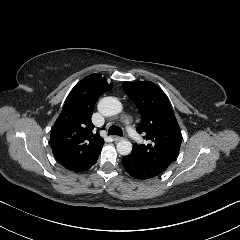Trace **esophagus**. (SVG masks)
I'll use <instances>...</instances> for the list:
<instances>
[{"mask_svg": "<svg viewBox=\"0 0 240 240\" xmlns=\"http://www.w3.org/2000/svg\"><path fill=\"white\" fill-rule=\"evenodd\" d=\"M123 139V137H120V136H113V140L114 141H120V140H122Z\"/></svg>", "mask_w": 240, "mask_h": 240, "instance_id": "34e87169", "label": "esophagus"}]
</instances>
